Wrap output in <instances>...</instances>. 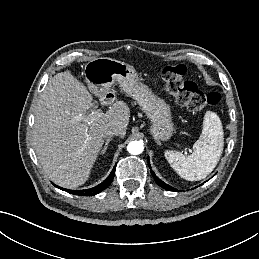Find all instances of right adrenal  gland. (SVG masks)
I'll return each instance as SVG.
<instances>
[{
    "label": "right adrenal gland",
    "instance_id": "right-adrenal-gland-1",
    "mask_svg": "<svg viewBox=\"0 0 259 259\" xmlns=\"http://www.w3.org/2000/svg\"><path fill=\"white\" fill-rule=\"evenodd\" d=\"M111 139H112L111 137H108V138L106 139L105 145H104L103 149L101 150V153H100V154H102V155L105 154V152H106V150H107V148H108V145H109Z\"/></svg>",
    "mask_w": 259,
    "mask_h": 259
}]
</instances>
